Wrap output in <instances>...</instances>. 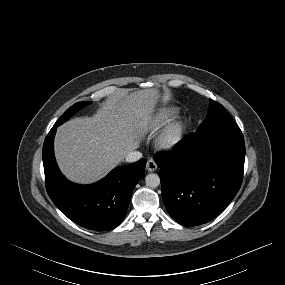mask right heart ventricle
Wrapping results in <instances>:
<instances>
[{
    "mask_svg": "<svg viewBox=\"0 0 285 285\" xmlns=\"http://www.w3.org/2000/svg\"><path fill=\"white\" fill-rule=\"evenodd\" d=\"M178 114V108L174 106H164L151 114L143 125V131L154 132L167 124Z\"/></svg>",
    "mask_w": 285,
    "mask_h": 285,
    "instance_id": "right-heart-ventricle-1",
    "label": "right heart ventricle"
}]
</instances>
